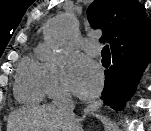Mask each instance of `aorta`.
I'll use <instances>...</instances> for the list:
<instances>
[{
  "mask_svg": "<svg viewBox=\"0 0 151 131\" xmlns=\"http://www.w3.org/2000/svg\"><path fill=\"white\" fill-rule=\"evenodd\" d=\"M72 25L73 20L71 17L53 21L46 29V39L54 46L62 45Z\"/></svg>",
  "mask_w": 151,
  "mask_h": 131,
  "instance_id": "aorta-1",
  "label": "aorta"
}]
</instances>
